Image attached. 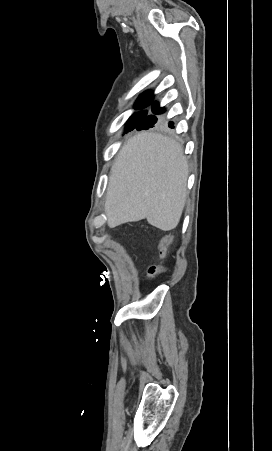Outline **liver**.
<instances>
[{
  "label": "liver",
  "instance_id": "obj_1",
  "mask_svg": "<svg viewBox=\"0 0 272 451\" xmlns=\"http://www.w3.org/2000/svg\"><path fill=\"white\" fill-rule=\"evenodd\" d=\"M187 180V160L174 138L138 132L111 168L105 200L108 226L146 218L151 226L174 229L185 206Z\"/></svg>",
  "mask_w": 272,
  "mask_h": 451
}]
</instances>
